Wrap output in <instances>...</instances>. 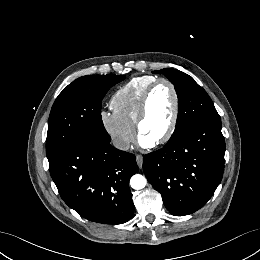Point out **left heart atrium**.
Segmentation results:
<instances>
[{
  "instance_id": "1",
  "label": "left heart atrium",
  "mask_w": 260,
  "mask_h": 260,
  "mask_svg": "<svg viewBox=\"0 0 260 260\" xmlns=\"http://www.w3.org/2000/svg\"><path fill=\"white\" fill-rule=\"evenodd\" d=\"M138 142H139L140 146H142L144 148L152 147L155 144V141L153 139H150L143 135H140Z\"/></svg>"
}]
</instances>
